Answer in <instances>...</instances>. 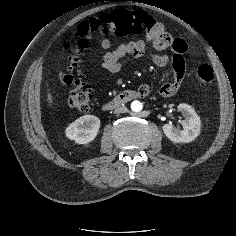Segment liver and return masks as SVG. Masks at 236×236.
I'll list each match as a JSON object with an SVG mask.
<instances>
[{
  "instance_id": "liver-1",
  "label": "liver",
  "mask_w": 236,
  "mask_h": 236,
  "mask_svg": "<svg viewBox=\"0 0 236 236\" xmlns=\"http://www.w3.org/2000/svg\"><path fill=\"white\" fill-rule=\"evenodd\" d=\"M47 100H48L49 106H52V104H53V97H52L50 92H48V94H47Z\"/></svg>"
}]
</instances>
